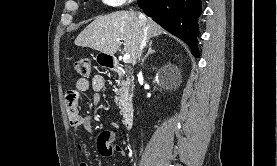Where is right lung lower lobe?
<instances>
[{
	"mask_svg": "<svg viewBox=\"0 0 277 166\" xmlns=\"http://www.w3.org/2000/svg\"><path fill=\"white\" fill-rule=\"evenodd\" d=\"M138 5L164 29L185 41L192 54L199 57L196 43L201 0H138Z\"/></svg>",
	"mask_w": 277,
	"mask_h": 166,
	"instance_id": "right-lung-lower-lobe-1",
	"label": "right lung lower lobe"
}]
</instances>
